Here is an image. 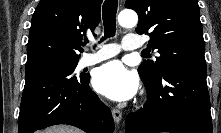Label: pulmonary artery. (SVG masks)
<instances>
[{
    "instance_id": "obj_1",
    "label": "pulmonary artery",
    "mask_w": 221,
    "mask_h": 133,
    "mask_svg": "<svg viewBox=\"0 0 221 133\" xmlns=\"http://www.w3.org/2000/svg\"><path fill=\"white\" fill-rule=\"evenodd\" d=\"M97 47V51L92 53H85L81 57L78 67L84 68L87 66H91L97 64L103 60L114 57L120 52V47L115 43L110 44H102L95 43ZM122 49L126 51H137L142 49V42L135 34H127L122 43Z\"/></svg>"
}]
</instances>
